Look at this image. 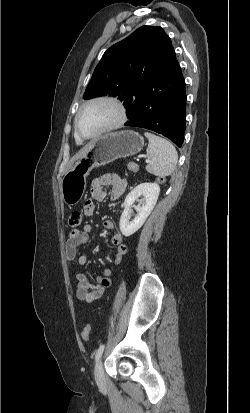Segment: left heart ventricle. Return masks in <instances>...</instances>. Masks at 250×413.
<instances>
[{"label": "left heart ventricle", "instance_id": "b2bd125f", "mask_svg": "<svg viewBox=\"0 0 250 413\" xmlns=\"http://www.w3.org/2000/svg\"><path fill=\"white\" fill-rule=\"evenodd\" d=\"M117 118V110L108 103H96L86 107L78 120L79 131L92 135L112 124Z\"/></svg>", "mask_w": 250, "mask_h": 413}]
</instances>
